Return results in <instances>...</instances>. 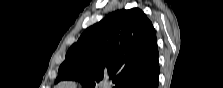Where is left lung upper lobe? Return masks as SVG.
Wrapping results in <instances>:
<instances>
[{"mask_svg":"<svg viewBox=\"0 0 223 88\" xmlns=\"http://www.w3.org/2000/svg\"><path fill=\"white\" fill-rule=\"evenodd\" d=\"M158 60L156 32L138 8L115 11L87 28L68 50L56 83L78 80L83 88L108 75L114 88H125Z\"/></svg>","mask_w":223,"mask_h":88,"instance_id":"1","label":"left lung upper lobe"}]
</instances>
